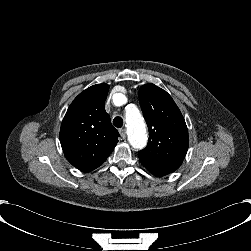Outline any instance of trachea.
Wrapping results in <instances>:
<instances>
[{
  "label": "trachea",
  "instance_id": "3493384b",
  "mask_svg": "<svg viewBox=\"0 0 251 251\" xmlns=\"http://www.w3.org/2000/svg\"><path fill=\"white\" fill-rule=\"evenodd\" d=\"M123 123H124L123 119L119 116L115 117L113 120V124L117 128H121L123 126Z\"/></svg>",
  "mask_w": 251,
  "mask_h": 251
}]
</instances>
